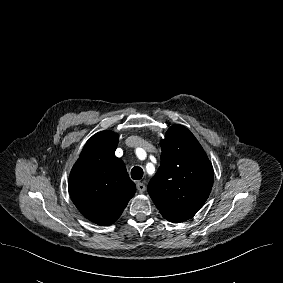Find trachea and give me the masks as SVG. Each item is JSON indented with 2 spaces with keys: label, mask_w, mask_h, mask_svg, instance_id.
Wrapping results in <instances>:
<instances>
[{
  "label": "trachea",
  "mask_w": 283,
  "mask_h": 283,
  "mask_svg": "<svg viewBox=\"0 0 283 283\" xmlns=\"http://www.w3.org/2000/svg\"><path fill=\"white\" fill-rule=\"evenodd\" d=\"M131 177L134 180H140L143 177V169L138 166L132 168Z\"/></svg>",
  "instance_id": "1"
}]
</instances>
